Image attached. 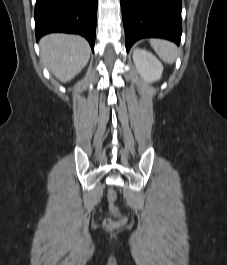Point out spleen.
Wrapping results in <instances>:
<instances>
[{"label": "spleen", "mask_w": 227, "mask_h": 265, "mask_svg": "<svg viewBox=\"0 0 227 265\" xmlns=\"http://www.w3.org/2000/svg\"><path fill=\"white\" fill-rule=\"evenodd\" d=\"M150 44L164 62L172 64L175 61L177 47L174 43L163 39H151Z\"/></svg>", "instance_id": "1"}]
</instances>
